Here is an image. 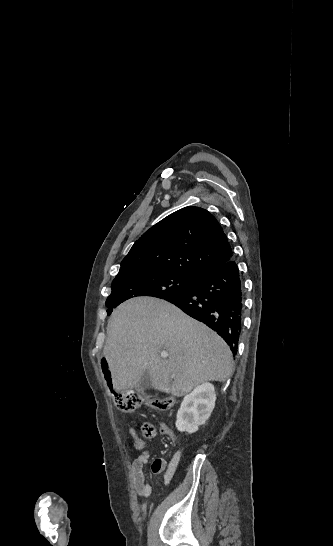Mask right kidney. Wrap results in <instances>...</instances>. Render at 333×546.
I'll return each instance as SVG.
<instances>
[{
  "label": "right kidney",
  "instance_id": "right-kidney-1",
  "mask_svg": "<svg viewBox=\"0 0 333 546\" xmlns=\"http://www.w3.org/2000/svg\"><path fill=\"white\" fill-rule=\"evenodd\" d=\"M216 394L214 386L204 383L186 395L177 412L176 427L189 434L198 430L210 417L214 409Z\"/></svg>",
  "mask_w": 333,
  "mask_h": 546
}]
</instances>
